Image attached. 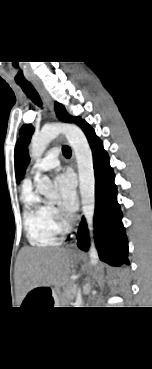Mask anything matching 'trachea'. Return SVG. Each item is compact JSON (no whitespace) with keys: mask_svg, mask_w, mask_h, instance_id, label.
Segmentation results:
<instances>
[{"mask_svg":"<svg viewBox=\"0 0 152 369\" xmlns=\"http://www.w3.org/2000/svg\"><path fill=\"white\" fill-rule=\"evenodd\" d=\"M19 86L22 88L24 93L39 107L42 106V101L40 99V96L38 95L37 91L34 89V87L30 83H19ZM63 155L66 158H69L71 156V149L69 146L65 145L62 147Z\"/></svg>","mask_w":152,"mask_h":369,"instance_id":"3493384b","label":"trachea"}]
</instances>
